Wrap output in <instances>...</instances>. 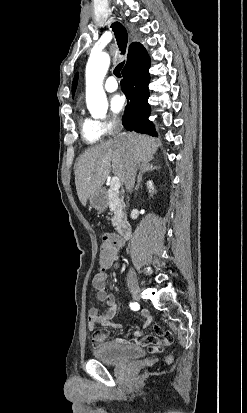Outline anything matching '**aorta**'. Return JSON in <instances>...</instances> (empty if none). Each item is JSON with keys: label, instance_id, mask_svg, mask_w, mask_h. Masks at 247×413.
Wrapping results in <instances>:
<instances>
[{"label": "aorta", "instance_id": "1", "mask_svg": "<svg viewBox=\"0 0 247 413\" xmlns=\"http://www.w3.org/2000/svg\"><path fill=\"white\" fill-rule=\"evenodd\" d=\"M110 64L107 53H92L86 65V104L94 118L106 115L108 102L103 89V80Z\"/></svg>", "mask_w": 247, "mask_h": 413}]
</instances>
